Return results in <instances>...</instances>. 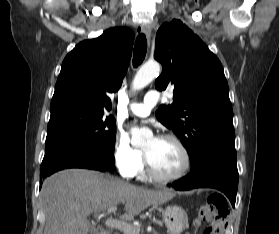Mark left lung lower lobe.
Masks as SVG:
<instances>
[{"mask_svg": "<svg viewBox=\"0 0 279 234\" xmlns=\"http://www.w3.org/2000/svg\"><path fill=\"white\" fill-rule=\"evenodd\" d=\"M169 186L180 191L199 187L216 188L227 195L234 207L238 187L235 148H219L208 153L190 174Z\"/></svg>", "mask_w": 279, "mask_h": 234, "instance_id": "1", "label": "left lung lower lobe"}]
</instances>
